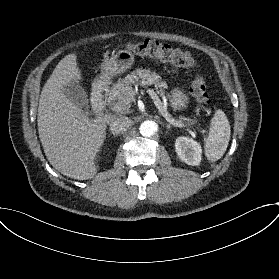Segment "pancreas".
<instances>
[{
	"label": "pancreas",
	"instance_id": "pancreas-1",
	"mask_svg": "<svg viewBox=\"0 0 279 279\" xmlns=\"http://www.w3.org/2000/svg\"><path fill=\"white\" fill-rule=\"evenodd\" d=\"M137 82H142L148 86L154 85L155 88H160L161 91L167 88V84L161 80L159 74L149 69H137L120 80L114 88L109 89L107 101L110 105L115 104L116 107L112 108L114 112L122 113L130 110L133 101L136 99V92L132 86ZM180 120L181 118L178 121Z\"/></svg>",
	"mask_w": 279,
	"mask_h": 279
}]
</instances>
